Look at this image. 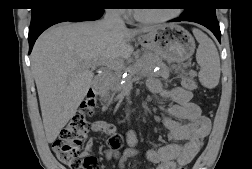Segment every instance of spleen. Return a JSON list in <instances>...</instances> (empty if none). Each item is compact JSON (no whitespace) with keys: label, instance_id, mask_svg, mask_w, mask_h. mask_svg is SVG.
Returning <instances> with one entry per match:
<instances>
[{"label":"spleen","instance_id":"spleen-1","mask_svg":"<svg viewBox=\"0 0 252 169\" xmlns=\"http://www.w3.org/2000/svg\"><path fill=\"white\" fill-rule=\"evenodd\" d=\"M193 34L199 42L196 60L200 66L199 81L209 89L215 88L220 79V59L213 41L202 31L193 29Z\"/></svg>","mask_w":252,"mask_h":169}]
</instances>
